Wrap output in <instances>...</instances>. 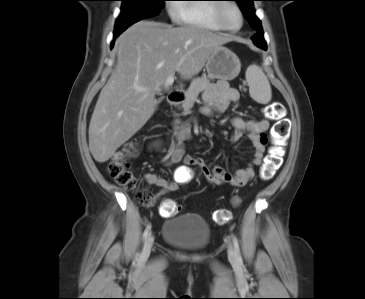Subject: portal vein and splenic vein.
<instances>
[{
	"label": "portal vein and splenic vein",
	"mask_w": 365,
	"mask_h": 299,
	"mask_svg": "<svg viewBox=\"0 0 365 299\" xmlns=\"http://www.w3.org/2000/svg\"><path fill=\"white\" fill-rule=\"evenodd\" d=\"M174 79H175L174 74L170 75V76L166 79V81H165V86H166L167 88H169L170 86H172V85H173V83H174ZM141 91H145V90H141Z\"/></svg>",
	"instance_id": "18ae733b"
}]
</instances>
